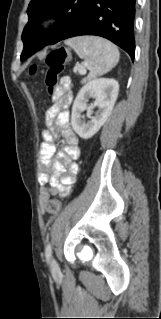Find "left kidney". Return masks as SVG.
I'll return each mask as SVG.
<instances>
[{"instance_id": "5707ae66", "label": "left kidney", "mask_w": 161, "mask_h": 319, "mask_svg": "<svg viewBox=\"0 0 161 319\" xmlns=\"http://www.w3.org/2000/svg\"><path fill=\"white\" fill-rule=\"evenodd\" d=\"M119 92V84L114 79H94L87 83L78 93L71 115V125L73 130L82 139L91 138L109 117ZM95 98L93 105L88 106L87 100ZM98 108L95 116H91L93 109ZM87 110L90 120L85 122L81 119L83 111Z\"/></svg>"}]
</instances>
